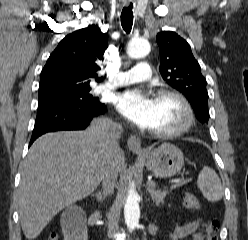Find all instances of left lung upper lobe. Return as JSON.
Returning a JSON list of instances; mask_svg holds the SVG:
<instances>
[{"label":"left lung upper lobe","mask_w":248,"mask_h":240,"mask_svg":"<svg viewBox=\"0 0 248 240\" xmlns=\"http://www.w3.org/2000/svg\"><path fill=\"white\" fill-rule=\"evenodd\" d=\"M161 63L159 71L162 78L185 95L197 119L207 123L209 119L208 93L206 79L200 65L194 58L186 40L172 31L157 34Z\"/></svg>","instance_id":"1"}]
</instances>
